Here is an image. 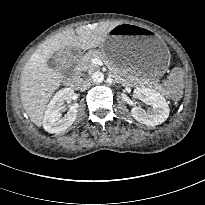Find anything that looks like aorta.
Masks as SVG:
<instances>
[{
	"mask_svg": "<svg viewBox=\"0 0 205 205\" xmlns=\"http://www.w3.org/2000/svg\"><path fill=\"white\" fill-rule=\"evenodd\" d=\"M92 79L96 83H101L104 80V74L101 71H95L92 74Z\"/></svg>",
	"mask_w": 205,
	"mask_h": 205,
	"instance_id": "762f6f07",
	"label": "aorta"
}]
</instances>
